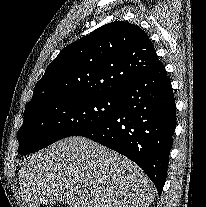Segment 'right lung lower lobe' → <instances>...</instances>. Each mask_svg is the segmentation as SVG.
<instances>
[{
  "mask_svg": "<svg viewBox=\"0 0 206 207\" xmlns=\"http://www.w3.org/2000/svg\"><path fill=\"white\" fill-rule=\"evenodd\" d=\"M118 110L78 136L92 139L139 165L161 195L176 126L173 89L161 62L121 92Z\"/></svg>",
  "mask_w": 206,
  "mask_h": 207,
  "instance_id": "obj_1",
  "label": "right lung lower lobe"
}]
</instances>
